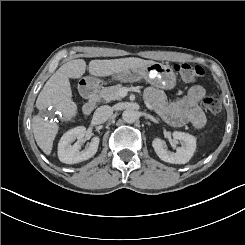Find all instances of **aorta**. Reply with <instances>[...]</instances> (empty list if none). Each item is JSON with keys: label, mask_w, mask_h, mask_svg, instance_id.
Listing matches in <instances>:
<instances>
[{"label": "aorta", "mask_w": 245, "mask_h": 245, "mask_svg": "<svg viewBox=\"0 0 245 245\" xmlns=\"http://www.w3.org/2000/svg\"><path fill=\"white\" fill-rule=\"evenodd\" d=\"M122 118L126 123H134L137 119V114L134 110L127 109L122 113Z\"/></svg>", "instance_id": "obj_1"}]
</instances>
